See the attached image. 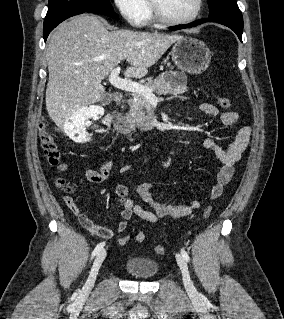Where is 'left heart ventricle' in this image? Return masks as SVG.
Masks as SVG:
<instances>
[{
	"mask_svg": "<svg viewBox=\"0 0 284 319\" xmlns=\"http://www.w3.org/2000/svg\"><path fill=\"white\" fill-rule=\"evenodd\" d=\"M162 11L172 18H186L196 9L197 0H154Z\"/></svg>",
	"mask_w": 284,
	"mask_h": 319,
	"instance_id": "left-heart-ventricle-1",
	"label": "left heart ventricle"
}]
</instances>
